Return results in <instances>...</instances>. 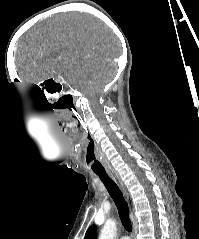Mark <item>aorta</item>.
<instances>
[{
	"mask_svg": "<svg viewBox=\"0 0 199 239\" xmlns=\"http://www.w3.org/2000/svg\"><path fill=\"white\" fill-rule=\"evenodd\" d=\"M116 230V222L112 219L107 220L101 230L99 239H114Z\"/></svg>",
	"mask_w": 199,
	"mask_h": 239,
	"instance_id": "aorta-1",
	"label": "aorta"
}]
</instances>
